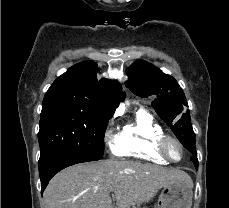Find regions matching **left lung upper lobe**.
I'll list each match as a JSON object with an SVG mask.
<instances>
[{
	"mask_svg": "<svg viewBox=\"0 0 229 208\" xmlns=\"http://www.w3.org/2000/svg\"><path fill=\"white\" fill-rule=\"evenodd\" d=\"M127 74L129 80L125 85L135 95L144 98L156 95L153 108L182 145L196 141L186 97L172 76L143 60L133 63Z\"/></svg>",
	"mask_w": 229,
	"mask_h": 208,
	"instance_id": "left-lung-upper-lobe-1",
	"label": "left lung upper lobe"
}]
</instances>
